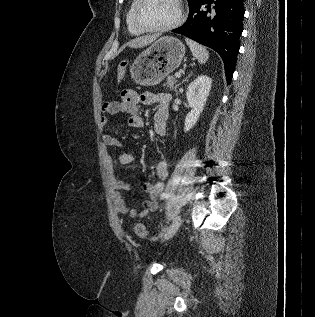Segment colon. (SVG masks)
Listing matches in <instances>:
<instances>
[{"mask_svg":"<svg viewBox=\"0 0 315 317\" xmlns=\"http://www.w3.org/2000/svg\"><path fill=\"white\" fill-rule=\"evenodd\" d=\"M127 65H128V63L126 61H122L118 64L117 71H116V77H117L118 81H121L124 78V76L126 74ZM134 232L138 237L143 238V239L147 238V236H148V233H147L145 226L141 223H137L134 226Z\"/></svg>","mask_w":315,"mask_h":317,"instance_id":"colon-1","label":"colon"}]
</instances>
